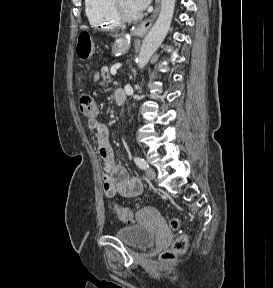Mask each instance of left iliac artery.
Returning a JSON list of instances; mask_svg holds the SVG:
<instances>
[{
    "mask_svg": "<svg viewBox=\"0 0 273 288\" xmlns=\"http://www.w3.org/2000/svg\"><path fill=\"white\" fill-rule=\"evenodd\" d=\"M134 162L140 169H147L149 167L147 162L140 157H134Z\"/></svg>",
    "mask_w": 273,
    "mask_h": 288,
    "instance_id": "1",
    "label": "left iliac artery"
}]
</instances>
